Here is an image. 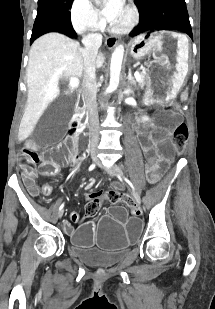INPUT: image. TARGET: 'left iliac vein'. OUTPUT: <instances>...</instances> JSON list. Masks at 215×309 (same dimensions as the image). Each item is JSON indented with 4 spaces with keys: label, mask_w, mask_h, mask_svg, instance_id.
Wrapping results in <instances>:
<instances>
[{
    "label": "left iliac vein",
    "mask_w": 215,
    "mask_h": 309,
    "mask_svg": "<svg viewBox=\"0 0 215 309\" xmlns=\"http://www.w3.org/2000/svg\"><path fill=\"white\" fill-rule=\"evenodd\" d=\"M97 163L99 164V160H97ZM115 171L118 173V176L121 179L124 178V174L117 167L115 168ZM132 195L134 196V198H135L136 202L138 203V205H140L141 200H140L139 194L135 190H132Z\"/></svg>",
    "instance_id": "left-iliac-vein-1"
}]
</instances>
